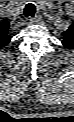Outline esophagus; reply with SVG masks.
Returning a JSON list of instances; mask_svg holds the SVG:
<instances>
[{"instance_id": "esophagus-1", "label": "esophagus", "mask_w": 74, "mask_h": 122, "mask_svg": "<svg viewBox=\"0 0 74 122\" xmlns=\"http://www.w3.org/2000/svg\"><path fill=\"white\" fill-rule=\"evenodd\" d=\"M29 21L31 23H39L41 21V16L40 15H36L35 17L30 18Z\"/></svg>"}]
</instances>
